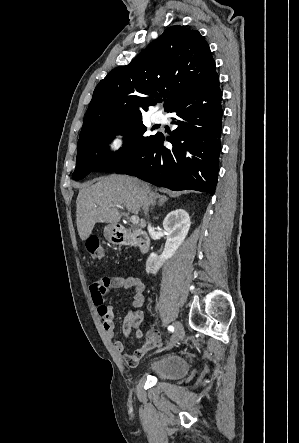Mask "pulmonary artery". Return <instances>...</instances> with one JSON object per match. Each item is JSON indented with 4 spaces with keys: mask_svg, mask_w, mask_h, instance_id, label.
<instances>
[{
    "mask_svg": "<svg viewBox=\"0 0 299 443\" xmlns=\"http://www.w3.org/2000/svg\"><path fill=\"white\" fill-rule=\"evenodd\" d=\"M151 119L155 123H159L163 121V115L160 112H155L151 115Z\"/></svg>",
    "mask_w": 299,
    "mask_h": 443,
    "instance_id": "pulmonary-artery-1",
    "label": "pulmonary artery"
}]
</instances>
